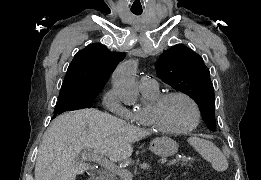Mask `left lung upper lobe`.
Here are the masks:
<instances>
[{"label": "left lung upper lobe", "mask_w": 261, "mask_h": 180, "mask_svg": "<svg viewBox=\"0 0 261 180\" xmlns=\"http://www.w3.org/2000/svg\"><path fill=\"white\" fill-rule=\"evenodd\" d=\"M156 73L163 82L194 99L206 126L216 130L213 85L200 55L183 44H177L159 57Z\"/></svg>", "instance_id": "1"}]
</instances>
